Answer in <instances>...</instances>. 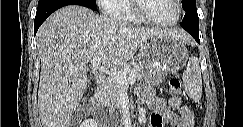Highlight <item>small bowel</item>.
I'll list each match as a JSON object with an SVG mask.
<instances>
[{"mask_svg":"<svg viewBox=\"0 0 243 127\" xmlns=\"http://www.w3.org/2000/svg\"><path fill=\"white\" fill-rule=\"evenodd\" d=\"M147 104L153 109L149 127H193L194 114L183 104L180 97H171L167 102L155 97L150 91L145 93Z\"/></svg>","mask_w":243,"mask_h":127,"instance_id":"c3829d8e","label":"small bowel"}]
</instances>
